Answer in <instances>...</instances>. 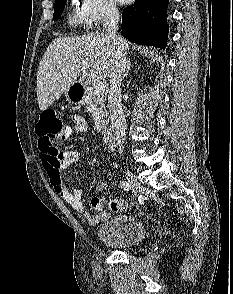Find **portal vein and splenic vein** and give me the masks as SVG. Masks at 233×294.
Listing matches in <instances>:
<instances>
[{
  "label": "portal vein and splenic vein",
  "mask_w": 233,
  "mask_h": 294,
  "mask_svg": "<svg viewBox=\"0 0 233 294\" xmlns=\"http://www.w3.org/2000/svg\"><path fill=\"white\" fill-rule=\"evenodd\" d=\"M105 91V84L101 81H97L94 84V92L97 94L104 93Z\"/></svg>",
  "instance_id": "18ae733b"
}]
</instances>
